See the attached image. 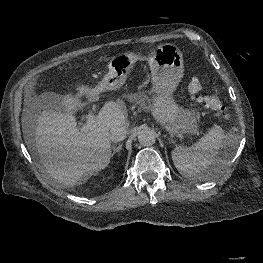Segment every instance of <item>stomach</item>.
Masks as SVG:
<instances>
[{"mask_svg":"<svg viewBox=\"0 0 263 263\" xmlns=\"http://www.w3.org/2000/svg\"><path fill=\"white\" fill-rule=\"evenodd\" d=\"M140 56L125 52L113 56L108 64V73L97 86L116 90L126 81ZM151 69L155 92L151 106L154 118L165 126L171 135L182 137L197 130L196 115L183 110L173 99V92L183 78L184 61L181 50L172 43L155 47L146 58Z\"/></svg>","mask_w":263,"mask_h":263,"instance_id":"stomach-1","label":"stomach"}]
</instances>
